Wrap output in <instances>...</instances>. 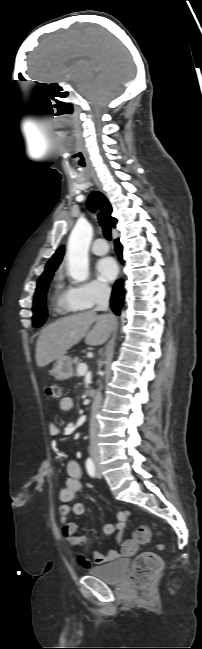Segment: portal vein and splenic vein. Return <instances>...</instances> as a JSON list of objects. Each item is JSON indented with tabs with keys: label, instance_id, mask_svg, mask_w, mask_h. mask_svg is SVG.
<instances>
[{
	"label": "portal vein and splenic vein",
	"instance_id": "1",
	"mask_svg": "<svg viewBox=\"0 0 202 649\" xmlns=\"http://www.w3.org/2000/svg\"><path fill=\"white\" fill-rule=\"evenodd\" d=\"M87 370H88V368H87V366L85 364H80L79 367H78V373L81 376H84L87 373Z\"/></svg>",
	"mask_w": 202,
	"mask_h": 649
}]
</instances>
